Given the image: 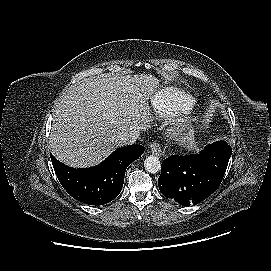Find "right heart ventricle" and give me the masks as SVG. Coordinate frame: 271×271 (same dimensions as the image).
Instances as JSON below:
<instances>
[{
	"label": "right heart ventricle",
	"mask_w": 271,
	"mask_h": 271,
	"mask_svg": "<svg viewBox=\"0 0 271 271\" xmlns=\"http://www.w3.org/2000/svg\"><path fill=\"white\" fill-rule=\"evenodd\" d=\"M195 104L196 100L191 95L174 87L164 88L151 98L154 113L163 119L184 116L194 108Z\"/></svg>",
	"instance_id": "right-heart-ventricle-1"
}]
</instances>
